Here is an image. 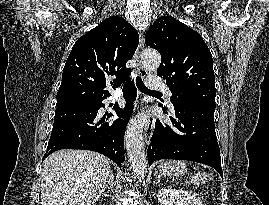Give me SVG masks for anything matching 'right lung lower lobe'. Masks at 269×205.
<instances>
[{
	"mask_svg": "<svg viewBox=\"0 0 269 205\" xmlns=\"http://www.w3.org/2000/svg\"><path fill=\"white\" fill-rule=\"evenodd\" d=\"M136 92L133 81L128 80L123 91L127 104L124 109L114 108L119 118L110 124L103 123L105 119L98 122L97 118L98 110L105 107L102 103L105 98L90 104L57 107L43 159L60 149H83L99 152L121 165L125 160L124 133Z\"/></svg>",
	"mask_w": 269,
	"mask_h": 205,
	"instance_id": "98d812e1",
	"label": "right lung lower lobe"
}]
</instances>
